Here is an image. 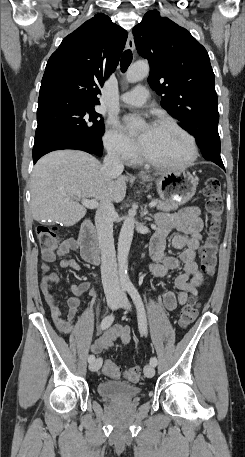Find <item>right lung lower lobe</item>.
<instances>
[{
  "mask_svg": "<svg viewBox=\"0 0 245 457\" xmlns=\"http://www.w3.org/2000/svg\"><path fill=\"white\" fill-rule=\"evenodd\" d=\"M61 149H75L86 151L90 154L92 150L81 140L74 139L68 136H51L38 140L34 143L33 147V162L36 163L37 160L43 155Z\"/></svg>",
  "mask_w": 245,
  "mask_h": 457,
  "instance_id": "98d812e1",
  "label": "right lung lower lobe"
}]
</instances>
